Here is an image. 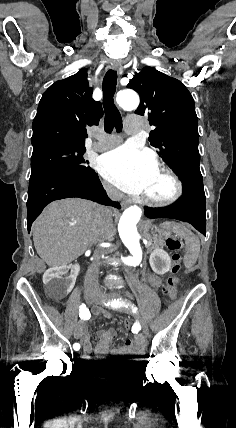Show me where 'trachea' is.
Instances as JSON below:
<instances>
[{"label": "trachea", "mask_w": 236, "mask_h": 428, "mask_svg": "<svg viewBox=\"0 0 236 428\" xmlns=\"http://www.w3.org/2000/svg\"><path fill=\"white\" fill-rule=\"evenodd\" d=\"M116 85V70H108L104 76L102 84L103 106L105 112L104 128L107 133H111L114 127L118 132H120L123 127L121 115L113 101Z\"/></svg>", "instance_id": "trachea-1"}]
</instances>
